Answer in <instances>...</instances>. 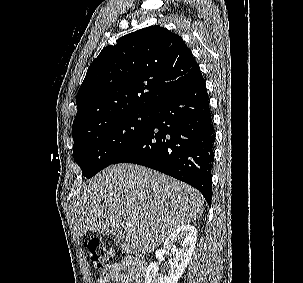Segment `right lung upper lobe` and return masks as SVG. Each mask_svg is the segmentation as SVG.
<instances>
[{
	"label": "right lung upper lobe",
	"mask_w": 303,
	"mask_h": 283,
	"mask_svg": "<svg viewBox=\"0 0 303 283\" xmlns=\"http://www.w3.org/2000/svg\"><path fill=\"white\" fill-rule=\"evenodd\" d=\"M202 78L182 38L161 26L127 34L104 48L79 88L72 133L133 111H151Z\"/></svg>",
	"instance_id": "right-lung-upper-lobe-1"
}]
</instances>
